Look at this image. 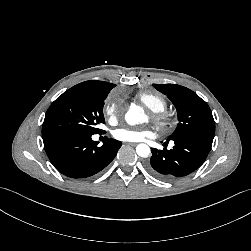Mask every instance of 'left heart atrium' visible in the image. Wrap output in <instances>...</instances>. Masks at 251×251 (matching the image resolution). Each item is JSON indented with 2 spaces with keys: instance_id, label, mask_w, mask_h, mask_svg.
I'll use <instances>...</instances> for the list:
<instances>
[{
  "instance_id": "1",
  "label": "left heart atrium",
  "mask_w": 251,
  "mask_h": 251,
  "mask_svg": "<svg viewBox=\"0 0 251 251\" xmlns=\"http://www.w3.org/2000/svg\"><path fill=\"white\" fill-rule=\"evenodd\" d=\"M152 131L150 129L120 128L114 133L116 139L125 142H139L150 137Z\"/></svg>"
}]
</instances>
